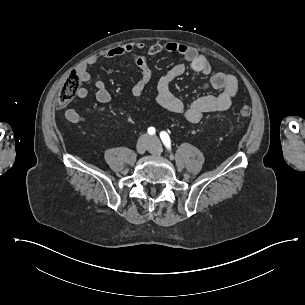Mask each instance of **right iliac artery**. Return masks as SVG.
Returning <instances> with one entry per match:
<instances>
[{
  "label": "right iliac artery",
  "mask_w": 305,
  "mask_h": 305,
  "mask_svg": "<svg viewBox=\"0 0 305 305\" xmlns=\"http://www.w3.org/2000/svg\"><path fill=\"white\" fill-rule=\"evenodd\" d=\"M155 132H156V130H155L154 127H149V128H148V133H149L150 135L155 134Z\"/></svg>",
  "instance_id": "1"
}]
</instances>
